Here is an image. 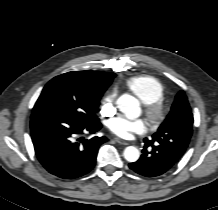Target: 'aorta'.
Returning <instances> with one entry per match:
<instances>
[{"label":"aorta","instance_id":"762f6f07","mask_svg":"<svg viewBox=\"0 0 218 210\" xmlns=\"http://www.w3.org/2000/svg\"><path fill=\"white\" fill-rule=\"evenodd\" d=\"M117 104L119 110L124 113L129 119H135L141 113L140 103L138 99L129 94L122 95L118 99ZM123 155L128 162H136L139 159L140 152L136 147L128 146L125 148Z\"/></svg>","mask_w":218,"mask_h":210}]
</instances>
